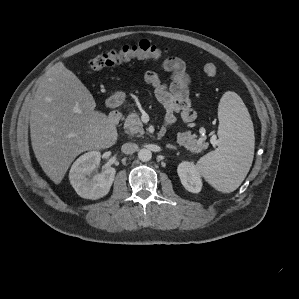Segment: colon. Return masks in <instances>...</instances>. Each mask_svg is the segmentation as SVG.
Instances as JSON below:
<instances>
[{
  "mask_svg": "<svg viewBox=\"0 0 299 299\" xmlns=\"http://www.w3.org/2000/svg\"><path fill=\"white\" fill-rule=\"evenodd\" d=\"M167 51L151 44L147 40L140 41L137 45L124 46L120 50H112L93 57L88 63V70L95 72L105 67L117 65L133 58L160 59ZM203 72L209 77L216 76L218 68L216 64L209 62L203 66Z\"/></svg>",
  "mask_w": 299,
  "mask_h": 299,
  "instance_id": "colon-1",
  "label": "colon"
}]
</instances>
